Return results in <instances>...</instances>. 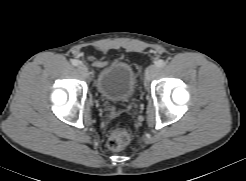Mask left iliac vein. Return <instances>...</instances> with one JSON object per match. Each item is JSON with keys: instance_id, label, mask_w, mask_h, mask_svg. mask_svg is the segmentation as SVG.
Returning <instances> with one entry per match:
<instances>
[{"instance_id": "1", "label": "left iliac vein", "mask_w": 246, "mask_h": 181, "mask_svg": "<svg viewBox=\"0 0 246 181\" xmlns=\"http://www.w3.org/2000/svg\"><path fill=\"white\" fill-rule=\"evenodd\" d=\"M158 70L156 65H150L145 71V80L150 81L158 73Z\"/></svg>"}]
</instances>
